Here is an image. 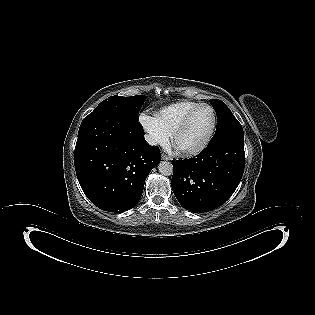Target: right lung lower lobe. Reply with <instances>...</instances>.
Wrapping results in <instances>:
<instances>
[{"mask_svg": "<svg viewBox=\"0 0 315 315\" xmlns=\"http://www.w3.org/2000/svg\"><path fill=\"white\" fill-rule=\"evenodd\" d=\"M159 162V148L145 142L138 122L109 112H92L83 119L75 170L83 192L98 208L132 209L141 198L146 177Z\"/></svg>", "mask_w": 315, "mask_h": 315, "instance_id": "obj_1", "label": "right lung lower lobe"}]
</instances>
